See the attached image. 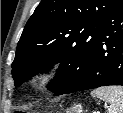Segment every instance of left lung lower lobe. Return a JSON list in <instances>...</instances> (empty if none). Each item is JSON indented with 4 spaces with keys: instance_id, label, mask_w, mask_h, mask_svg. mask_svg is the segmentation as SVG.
Here are the masks:
<instances>
[{
    "instance_id": "left-lung-lower-lobe-1",
    "label": "left lung lower lobe",
    "mask_w": 123,
    "mask_h": 113,
    "mask_svg": "<svg viewBox=\"0 0 123 113\" xmlns=\"http://www.w3.org/2000/svg\"><path fill=\"white\" fill-rule=\"evenodd\" d=\"M108 85L123 86V0H115L101 21L84 79L62 94Z\"/></svg>"
}]
</instances>
